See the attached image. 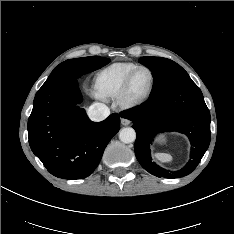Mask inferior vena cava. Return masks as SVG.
Returning <instances> with one entry per match:
<instances>
[{"label":"inferior vena cava","mask_w":234,"mask_h":234,"mask_svg":"<svg viewBox=\"0 0 234 234\" xmlns=\"http://www.w3.org/2000/svg\"><path fill=\"white\" fill-rule=\"evenodd\" d=\"M110 115V109L103 103H94L88 109V116L94 122H100Z\"/></svg>","instance_id":"1"}]
</instances>
